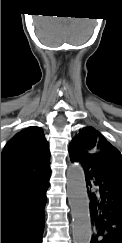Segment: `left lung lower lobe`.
I'll use <instances>...</instances> for the list:
<instances>
[{
  "mask_svg": "<svg viewBox=\"0 0 122 243\" xmlns=\"http://www.w3.org/2000/svg\"><path fill=\"white\" fill-rule=\"evenodd\" d=\"M80 162L90 199V243H122V156L103 153Z\"/></svg>",
  "mask_w": 122,
  "mask_h": 243,
  "instance_id": "obj_1",
  "label": "left lung lower lobe"
}]
</instances>
